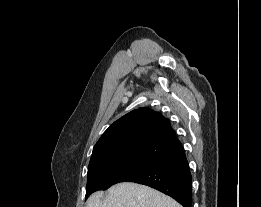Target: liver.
<instances>
[{
    "instance_id": "obj_1",
    "label": "liver",
    "mask_w": 261,
    "mask_h": 207,
    "mask_svg": "<svg viewBox=\"0 0 261 207\" xmlns=\"http://www.w3.org/2000/svg\"><path fill=\"white\" fill-rule=\"evenodd\" d=\"M85 207H182L169 196L145 185L122 182L93 193Z\"/></svg>"
}]
</instances>
